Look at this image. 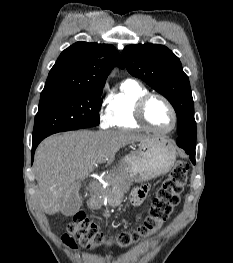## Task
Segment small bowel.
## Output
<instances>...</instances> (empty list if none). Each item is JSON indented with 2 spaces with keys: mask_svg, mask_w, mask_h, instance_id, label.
<instances>
[{
  "mask_svg": "<svg viewBox=\"0 0 233 263\" xmlns=\"http://www.w3.org/2000/svg\"><path fill=\"white\" fill-rule=\"evenodd\" d=\"M149 186L148 185H143L136 187L131 195V202L133 205H140L143 200L145 199L147 193H148Z\"/></svg>",
  "mask_w": 233,
  "mask_h": 263,
  "instance_id": "obj_1",
  "label": "small bowel"
}]
</instances>
